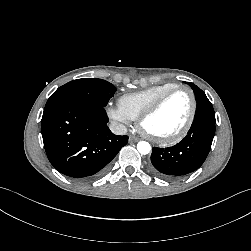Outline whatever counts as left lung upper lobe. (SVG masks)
Returning a JSON list of instances; mask_svg holds the SVG:
<instances>
[{"mask_svg":"<svg viewBox=\"0 0 251 251\" xmlns=\"http://www.w3.org/2000/svg\"><path fill=\"white\" fill-rule=\"evenodd\" d=\"M191 88L194 90L197 100V108L195 117L200 115H213L215 116L214 109L205 93L198 88L195 84L189 83Z\"/></svg>","mask_w":251,"mask_h":251,"instance_id":"obj_1","label":"left lung upper lobe"}]
</instances>
